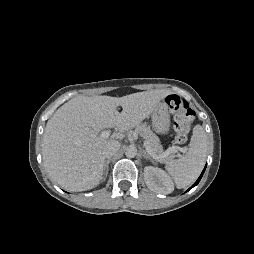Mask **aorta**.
<instances>
[{"instance_id": "762f6f07", "label": "aorta", "mask_w": 254, "mask_h": 254, "mask_svg": "<svg viewBox=\"0 0 254 254\" xmlns=\"http://www.w3.org/2000/svg\"><path fill=\"white\" fill-rule=\"evenodd\" d=\"M125 155L128 158H134L137 155V149L135 146H128L125 150Z\"/></svg>"}]
</instances>
